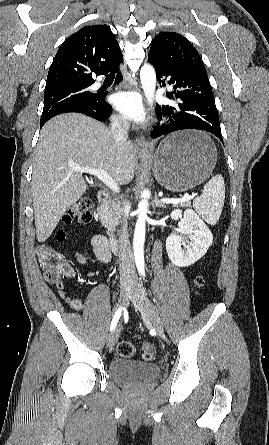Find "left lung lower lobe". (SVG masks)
<instances>
[{"mask_svg":"<svg viewBox=\"0 0 269 445\" xmlns=\"http://www.w3.org/2000/svg\"><path fill=\"white\" fill-rule=\"evenodd\" d=\"M156 69L157 80L173 85L174 91L167 94L178 99L175 105L156 106L162 124L151 132L152 138L184 129L208 131L217 136L223 143L221 128L212 88L205 69L170 68L149 61Z\"/></svg>","mask_w":269,"mask_h":445,"instance_id":"1","label":"left lung lower lobe"}]
</instances>
